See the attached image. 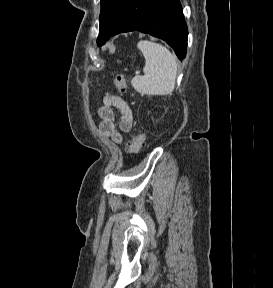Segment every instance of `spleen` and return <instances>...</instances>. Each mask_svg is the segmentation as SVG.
Segmentation results:
<instances>
[{"instance_id": "1", "label": "spleen", "mask_w": 273, "mask_h": 288, "mask_svg": "<svg viewBox=\"0 0 273 288\" xmlns=\"http://www.w3.org/2000/svg\"><path fill=\"white\" fill-rule=\"evenodd\" d=\"M145 57L144 75H136L134 89L146 95H168L175 88L177 63L174 55L163 45L141 40L137 45Z\"/></svg>"}]
</instances>
